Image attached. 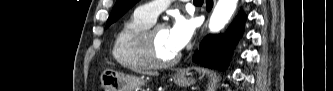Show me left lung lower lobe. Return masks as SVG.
<instances>
[{
	"label": "left lung lower lobe",
	"mask_w": 333,
	"mask_h": 91,
	"mask_svg": "<svg viewBox=\"0 0 333 91\" xmlns=\"http://www.w3.org/2000/svg\"><path fill=\"white\" fill-rule=\"evenodd\" d=\"M212 0H207V9L212 8ZM246 16L239 12L235 20L230 25L225 36H206L196 51L193 60L205 67L225 70L230 61L231 53L242 35L243 25Z\"/></svg>",
	"instance_id": "obj_1"
}]
</instances>
